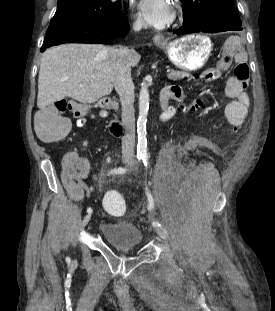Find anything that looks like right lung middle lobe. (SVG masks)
<instances>
[{"instance_id":"dd1d6c3e","label":"right lung middle lobe","mask_w":275,"mask_h":311,"mask_svg":"<svg viewBox=\"0 0 275 311\" xmlns=\"http://www.w3.org/2000/svg\"><path fill=\"white\" fill-rule=\"evenodd\" d=\"M120 8L121 3L115 0H59L46 35L62 26L104 19Z\"/></svg>"}]
</instances>
